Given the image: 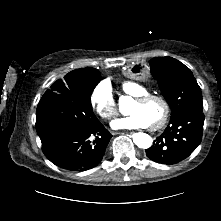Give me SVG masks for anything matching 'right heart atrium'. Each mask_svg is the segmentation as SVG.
<instances>
[{
    "mask_svg": "<svg viewBox=\"0 0 221 221\" xmlns=\"http://www.w3.org/2000/svg\"><path fill=\"white\" fill-rule=\"evenodd\" d=\"M90 101L97 114L104 120H110L118 114L112 88L107 82H100L95 86Z\"/></svg>",
    "mask_w": 221,
    "mask_h": 221,
    "instance_id": "1",
    "label": "right heart atrium"
}]
</instances>
